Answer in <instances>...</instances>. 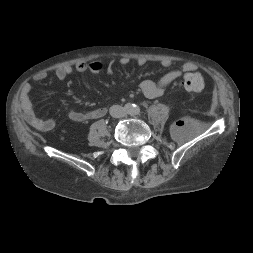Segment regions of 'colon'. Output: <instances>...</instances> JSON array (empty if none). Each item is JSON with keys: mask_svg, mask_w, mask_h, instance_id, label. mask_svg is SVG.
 Listing matches in <instances>:
<instances>
[{"mask_svg": "<svg viewBox=\"0 0 253 253\" xmlns=\"http://www.w3.org/2000/svg\"><path fill=\"white\" fill-rule=\"evenodd\" d=\"M90 67L96 71L102 70L103 62L100 60H94L90 63ZM180 84L184 89L193 92H200L205 88L204 77L198 72L186 73L183 76Z\"/></svg>", "mask_w": 253, "mask_h": 253, "instance_id": "1", "label": "colon"}]
</instances>
